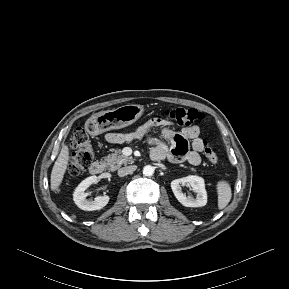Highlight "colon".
Segmentation results:
<instances>
[{
    "instance_id": "1",
    "label": "colon",
    "mask_w": 289,
    "mask_h": 289,
    "mask_svg": "<svg viewBox=\"0 0 289 289\" xmlns=\"http://www.w3.org/2000/svg\"><path fill=\"white\" fill-rule=\"evenodd\" d=\"M165 117L178 125H191L204 119V114L196 109L173 108L165 111ZM96 125L91 124L88 129L76 128L71 138L73 152L68 163V173L71 176H78L83 173L93 160V149L89 141L88 130H94ZM205 155L208 160L216 164L218 155L210 144L205 141Z\"/></svg>"
}]
</instances>
